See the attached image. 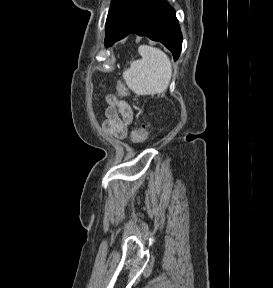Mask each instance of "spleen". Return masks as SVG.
Here are the masks:
<instances>
[{
	"mask_svg": "<svg viewBox=\"0 0 273 288\" xmlns=\"http://www.w3.org/2000/svg\"><path fill=\"white\" fill-rule=\"evenodd\" d=\"M141 59L131 62L123 72V78L130 90L138 95L160 94L167 90L172 66L168 56L160 49L140 45Z\"/></svg>",
	"mask_w": 273,
	"mask_h": 288,
	"instance_id": "obj_1",
	"label": "spleen"
}]
</instances>
